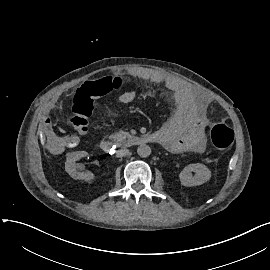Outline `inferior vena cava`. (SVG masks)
<instances>
[{
  "label": "inferior vena cava",
  "mask_w": 270,
  "mask_h": 270,
  "mask_svg": "<svg viewBox=\"0 0 270 270\" xmlns=\"http://www.w3.org/2000/svg\"><path fill=\"white\" fill-rule=\"evenodd\" d=\"M129 153L128 149H121L119 150V152L117 153V157H124L125 155H127Z\"/></svg>",
  "instance_id": "602c4592"
}]
</instances>
